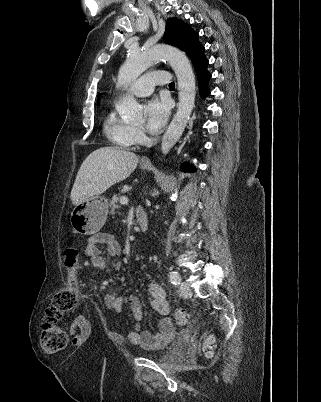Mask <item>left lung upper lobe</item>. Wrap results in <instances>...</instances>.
Listing matches in <instances>:
<instances>
[{
  "instance_id": "5c2ea615",
  "label": "left lung upper lobe",
  "mask_w": 321,
  "mask_h": 402,
  "mask_svg": "<svg viewBox=\"0 0 321 402\" xmlns=\"http://www.w3.org/2000/svg\"><path fill=\"white\" fill-rule=\"evenodd\" d=\"M163 40L167 44L178 47L189 56L200 44L198 34L189 25L176 18L167 20Z\"/></svg>"
}]
</instances>
